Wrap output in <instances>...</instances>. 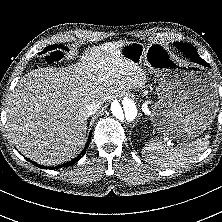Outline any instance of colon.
I'll return each instance as SVG.
<instances>
[{"instance_id": "obj_1", "label": "colon", "mask_w": 222, "mask_h": 222, "mask_svg": "<svg viewBox=\"0 0 222 222\" xmlns=\"http://www.w3.org/2000/svg\"><path fill=\"white\" fill-rule=\"evenodd\" d=\"M62 59V55L60 53H52L50 54L47 58H46V61L50 64L52 63H55V62H58Z\"/></svg>"}]
</instances>
